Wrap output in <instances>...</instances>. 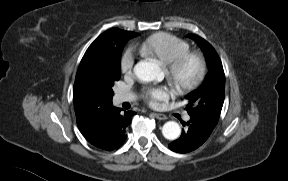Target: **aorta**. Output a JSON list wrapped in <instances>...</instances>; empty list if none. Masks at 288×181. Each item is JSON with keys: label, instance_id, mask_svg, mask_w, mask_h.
Segmentation results:
<instances>
[{"label": "aorta", "instance_id": "1", "mask_svg": "<svg viewBox=\"0 0 288 181\" xmlns=\"http://www.w3.org/2000/svg\"><path fill=\"white\" fill-rule=\"evenodd\" d=\"M134 73L139 80L150 82L160 77L161 70L156 63L143 60L135 65ZM162 134L168 140H175L180 136L181 128L177 122L168 121L163 125Z\"/></svg>", "mask_w": 288, "mask_h": 181}]
</instances>
